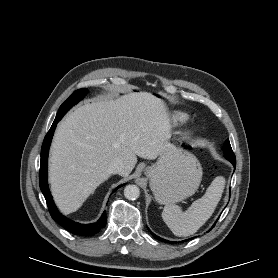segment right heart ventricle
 <instances>
[{
	"label": "right heart ventricle",
	"instance_id": "1",
	"mask_svg": "<svg viewBox=\"0 0 278 278\" xmlns=\"http://www.w3.org/2000/svg\"><path fill=\"white\" fill-rule=\"evenodd\" d=\"M174 121L177 123H183L188 119V115L186 113L183 112H177L174 114L173 116Z\"/></svg>",
	"mask_w": 278,
	"mask_h": 278
}]
</instances>
